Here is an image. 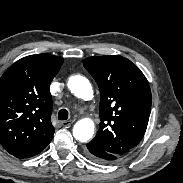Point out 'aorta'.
Returning a JSON list of instances; mask_svg holds the SVG:
<instances>
[{
  "instance_id": "1",
  "label": "aorta",
  "mask_w": 183,
  "mask_h": 183,
  "mask_svg": "<svg viewBox=\"0 0 183 183\" xmlns=\"http://www.w3.org/2000/svg\"><path fill=\"white\" fill-rule=\"evenodd\" d=\"M68 88L76 97L83 100H90L93 97V89L89 80L81 75L71 76L68 80ZM94 123L90 119L78 121L73 128L74 137L80 142H86L94 134Z\"/></svg>"
}]
</instances>
